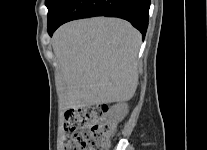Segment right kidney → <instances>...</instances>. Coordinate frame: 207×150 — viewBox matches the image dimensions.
I'll return each mask as SVG.
<instances>
[{
    "label": "right kidney",
    "instance_id": "right-kidney-1",
    "mask_svg": "<svg viewBox=\"0 0 207 150\" xmlns=\"http://www.w3.org/2000/svg\"><path fill=\"white\" fill-rule=\"evenodd\" d=\"M112 117L114 120L121 121L128 113V105L119 103L112 107Z\"/></svg>",
    "mask_w": 207,
    "mask_h": 150
}]
</instances>
